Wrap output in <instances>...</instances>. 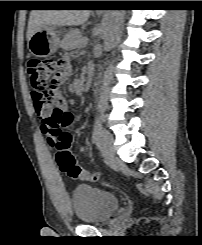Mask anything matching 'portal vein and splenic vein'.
<instances>
[{"label": "portal vein and splenic vein", "mask_w": 202, "mask_h": 245, "mask_svg": "<svg viewBox=\"0 0 202 245\" xmlns=\"http://www.w3.org/2000/svg\"><path fill=\"white\" fill-rule=\"evenodd\" d=\"M82 42H83V44H86L88 42V39L84 38Z\"/></svg>", "instance_id": "obj_1"}]
</instances>
